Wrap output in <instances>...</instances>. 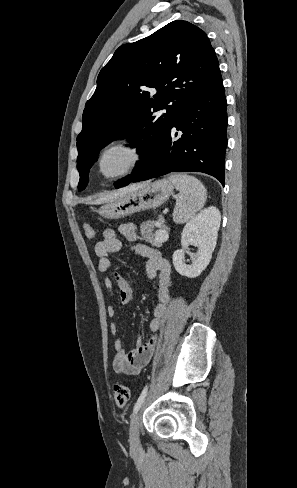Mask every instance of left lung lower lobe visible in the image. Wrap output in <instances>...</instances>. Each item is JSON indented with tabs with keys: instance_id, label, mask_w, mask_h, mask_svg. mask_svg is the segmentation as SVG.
I'll use <instances>...</instances> for the list:
<instances>
[{
	"instance_id": "1",
	"label": "left lung lower lobe",
	"mask_w": 297,
	"mask_h": 488,
	"mask_svg": "<svg viewBox=\"0 0 297 488\" xmlns=\"http://www.w3.org/2000/svg\"><path fill=\"white\" fill-rule=\"evenodd\" d=\"M226 105L223 80L219 74L180 113L151 161L137 174L127 177L123 186L169 172H203L214 176L224 186Z\"/></svg>"
}]
</instances>
